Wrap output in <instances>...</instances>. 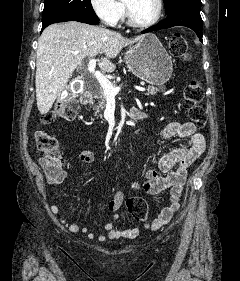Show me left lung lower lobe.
I'll return each mask as SVG.
<instances>
[{
    "label": "left lung lower lobe",
    "mask_w": 240,
    "mask_h": 281,
    "mask_svg": "<svg viewBox=\"0 0 240 281\" xmlns=\"http://www.w3.org/2000/svg\"><path fill=\"white\" fill-rule=\"evenodd\" d=\"M200 9L201 7H196L193 5L182 6L168 14L167 18L160 21L157 25L142 31V33L166 29L173 26H185L191 28L202 41L203 21L200 15Z\"/></svg>",
    "instance_id": "0a47b994"
}]
</instances>
